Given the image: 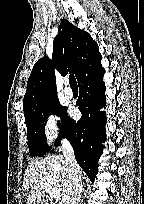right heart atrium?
Masks as SVG:
<instances>
[{
	"instance_id": "1",
	"label": "right heart atrium",
	"mask_w": 144,
	"mask_h": 204,
	"mask_svg": "<svg viewBox=\"0 0 144 204\" xmlns=\"http://www.w3.org/2000/svg\"><path fill=\"white\" fill-rule=\"evenodd\" d=\"M44 139L52 144L61 134L59 117L55 113H49L42 124Z\"/></svg>"
}]
</instances>
